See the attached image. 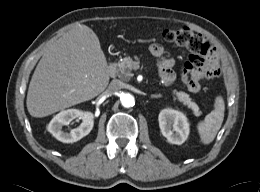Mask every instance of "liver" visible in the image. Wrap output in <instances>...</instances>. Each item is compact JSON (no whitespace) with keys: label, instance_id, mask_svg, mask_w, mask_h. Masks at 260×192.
Masks as SVG:
<instances>
[{"label":"liver","instance_id":"6515ba94","mask_svg":"<svg viewBox=\"0 0 260 192\" xmlns=\"http://www.w3.org/2000/svg\"><path fill=\"white\" fill-rule=\"evenodd\" d=\"M109 82L106 57L96 34L78 27L54 41L31 78L26 105L33 117H45L88 101Z\"/></svg>","mask_w":260,"mask_h":192}]
</instances>
